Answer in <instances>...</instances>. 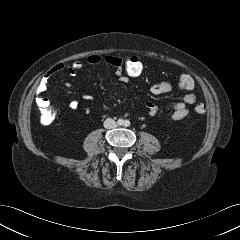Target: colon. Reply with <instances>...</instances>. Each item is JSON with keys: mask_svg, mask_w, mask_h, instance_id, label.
I'll return each instance as SVG.
<instances>
[{"mask_svg": "<svg viewBox=\"0 0 240 240\" xmlns=\"http://www.w3.org/2000/svg\"><path fill=\"white\" fill-rule=\"evenodd\" d=\"M120 68L128 78L138 77L143 74L144 64L138 56H129L121 59ZM177 85L181 90H191L194 88V79L189 74H183L179 77ZM207 107L203 103H198L194 106V111L202 114ZM56 118V111L49 106L40 107V122L43 125L51 124Z\"/></svg>", "mask_w": 240, "mask_h": 240, "instance_id": "5ec220e1", "label": "colon"}]
</instances>
